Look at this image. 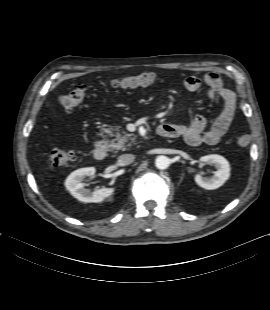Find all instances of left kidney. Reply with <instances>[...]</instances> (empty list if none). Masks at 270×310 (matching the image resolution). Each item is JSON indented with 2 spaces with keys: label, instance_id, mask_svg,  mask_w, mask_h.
Returning <instances> with one entry per match:
<instances>
[{
  "label": "left kidney",
  "instance_id": "1",
  "mask_svg": "<svg viewBox=\"0 0 270 310\" xmlns=\"http://www.w3.org/2000/svg\"><path fill=\"white\" fill-rule=\"evenodd\" d=\"M200 161L212 164L216 171H214L212 177H202L200 174H197L194 179L198 186L207 190H214L221 187L229 179L230 165L224 157L212 154L201 157Z\"/></svg>",
  "mask_w": 270,
  "mask_h": 310
}]
</instances>
